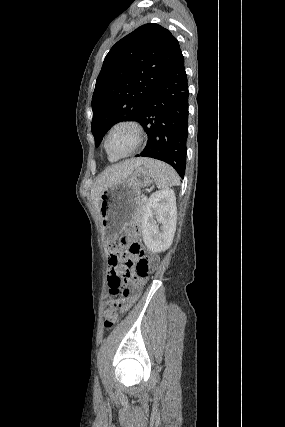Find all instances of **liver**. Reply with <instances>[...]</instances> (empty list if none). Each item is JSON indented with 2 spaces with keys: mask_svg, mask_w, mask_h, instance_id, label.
<instances>
[{
  "mask_svg": "<svg viewBox=\"0 0 285 427\" xmlns=\"http://www.w3.org/2000/svg\"><path fill=\"white\" fill-rule=\"evenodd\" d=\"M145 158H133L125 160L106 169L96 180L92 190L91 198L95 209L100 214V197L103 192L111 185L126 179L137 167L145 162Z\"/></svg>",
  "mask_w": 285,
  "mask_h": 427,
  "instance_id": "1",
  "label": "liver"
}]
</instances>
